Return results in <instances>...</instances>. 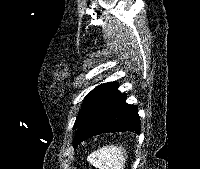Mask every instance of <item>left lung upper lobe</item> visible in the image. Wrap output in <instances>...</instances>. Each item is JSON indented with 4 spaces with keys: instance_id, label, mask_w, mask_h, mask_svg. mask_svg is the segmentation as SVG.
<instances>
[{
    "instance_id": "left-lung-upper-lobe-1",
    "label": "left lung upper lobe",
    "mask_w": 200,
    "mask_h": 169,
    "mask_svg": "<svg viewBox=\"0 0 200 169\" xmlns=\"http://www.w3.org/2000/svg\"><path fill=\"white\" fill-rule=\"evenodd\" d=\"M117 87H118L117 83L108 82L105 84H101L94 90H92L84 99L83 105L76 118V122L74 124L73 129H76L80 125L82 120L86 117L88 112L97 102H99L101 99H103L104 97L115 91Z\"/></svg>"
}]
</instances>
